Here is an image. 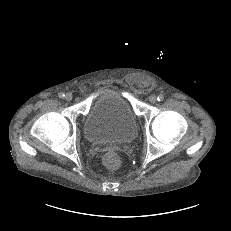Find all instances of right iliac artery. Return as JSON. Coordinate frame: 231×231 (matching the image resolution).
Segmentation results:
<instances>
[{
	"label": "right iliac artery",
	"instance_id": "1",
	"mask_svg": "<svg viewBox=\"0 0 231 231\" xmlns=\"http://www.w3.org/2000/svg\"><path fill=\"white\" fill-rule=\"evenodd\" d=\"M59 97H60V98H64V97H65V94H64V93H59Z\"/></svg>",
	"mask_w": 231,
	"mask_h": 231
}]
</instances>
